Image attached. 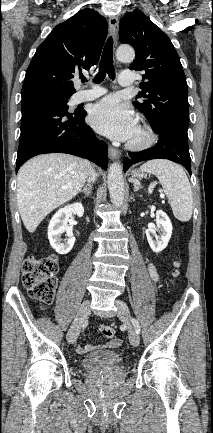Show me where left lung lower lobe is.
Here are the masks:
<instances>
[{"label":"left lung lower lobe","mask_w":213,"mask_h":433,"mask_svg":"<svg viewBox=\"0 0 213 433\" xmlns=\"http://www.w3.org/2000/svg\"><path fill=\"white\" fill-rule=\"evenodd\" d=\"M188 128L176 122H164L156 129L159 133L158 143L140 152H129L125 158L123 170L132 164L151 160L168 159L183 165L191 175V158L188 147Z\"/></svg>","instance_id":"left-lung-lower-lobe-1"}]
</instances>
